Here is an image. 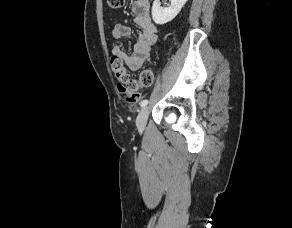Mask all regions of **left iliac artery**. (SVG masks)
Masks as SVG:
<instances>
[{
	"label": "left iliac artery",
	"mask_w": 292,
	"mask_h": 228,
	"mask_svg": "<svg viewBox=\"0 0 292 228\" xmlns=\"http://www.w3.org/2000/svg\"><path fill=\"white\" fill-rule=\"evenodd\" d=\"M148 102L149 101L147 99H145V100L141 101L140 106L144 107V106H146L148 104Z\"/></svg>",
	"instance_id": "obj_1"
}]
</instances>
